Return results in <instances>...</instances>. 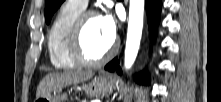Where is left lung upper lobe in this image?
I'll list each match as a JSON object with an SVG mask.
<instances>
[{"mask_svg":"<svg viewBox=\"0 0 221 102\" xmlns=\"http://www.w3.org/2000/svg\"><path fill=\"white\" fill-rule=\"evenodd\" d=\"M64 0H47L45 7V21L49 23L54 12L60 7Z\"/></svg>","mask_w":221,"mask_h":102,"instance_id":"left-lung-upper-lobe-1","label":"left lung upper lobe"}]
</instances>
